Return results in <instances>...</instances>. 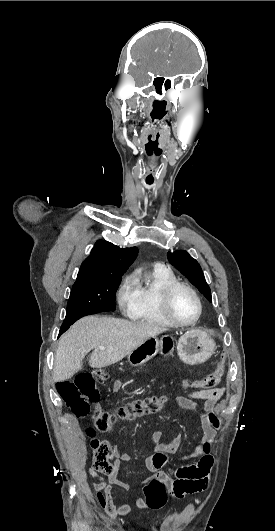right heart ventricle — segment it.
Masks as SVG:
<instances>
[{
    "mask_svg": "<svg viewBox=\"0 0 275 531\" xmlns=\"http://www.w3.org/2000/svg\"><path fill=\"white\" fill-rule=\"evenodd\" d=\"M174 281L176 277L171 271L155 270L148 280L138 283L139 303L132 318L154 326L173 327L161 310L160 297L162 289Z\"/></svg>",
    "mask_w": 275,
    "mask_h": 531,
    "instance_id": "obj_1",
    "label": "right heart ventricle"
}]
</instances>
